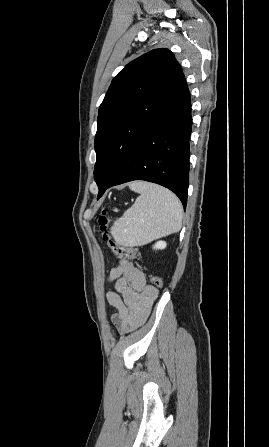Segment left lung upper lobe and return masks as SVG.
Here are the masks:
<instances>
[{"label":"left lung upper lobe","mask_w":269,"mask_h":447,"mask_svg":"<svg viewBox=\"0 0 269 447\" xmlns=\"http://www.w3.org/2000/svg\"><path fill=\"white\" fill-rule=\"evenodd\" d=\"M182 73L172 52L156 49L130 62L112 80L99 108L94 142L98 187L118 177L146 132L164 115Z\"/></svg>","instance_id":"1"}]
</instances>
